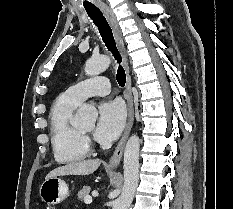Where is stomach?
Here are the masks:
<instances>
[{"mask_svg": "<svg viewBox=\"0 0 233 209\" xmlns=\"http://www.w3.org/2000/svg\"><path fill=\"white\" fill-rule=\"evenodd\" d=\"M39 195L48 205H56L68 197L69 188L63 179L56 176L44 180L40 186Z\"/></svg>", "mask_w": 233, "mask_h": 209, "instance_id": "1", "label": "stomach"}]
</instances>
